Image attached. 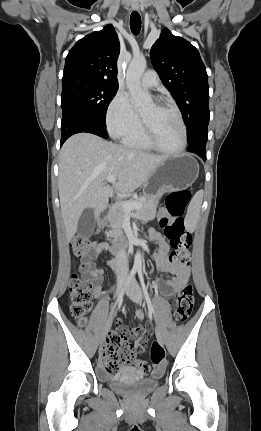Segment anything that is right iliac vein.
Instances as JSON below:
<instances>
[{"label":"right iliac vein","instance_id":"obj_1","mask_svg":"<svg viewBox=\"0 0 261 431\" xmlns=\"http://www.w3.org/2000/svg\"><path fill=\"white\" fill-rule=\"evenodd\" d=\"M123 281H124V278L122 277L117 282V288H116V298L117 299L119 298V296H120V294L122 292ZM112 320H113V315L110 316V318L106 322V325H105V328H104V333H103V339L105 338V336L107 335L108 331L111 328Z\"/></svg>","mask_w":261,"mask_h":431}]
</instances>
